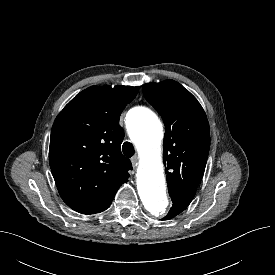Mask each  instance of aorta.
<instances>
[{
    "instance_id": "762f6f07",
    "label": "aorta",
    "mask_w": 275,
    "mask_h": 275,
    "mask_svg": "<svg viewBox=\"0 0 275 275\" xmlns=\"http://www.w3.org/2000/svg\"><path fill=\"white\" fill-rule=\"evenodd\" d=\"M128 123L130 137L141 159L137 177L140 199L149 216L161 218L169 207L160 148L162 124L157 115L145 107L132 109Z\"/></svg>"
}]
</instances>
